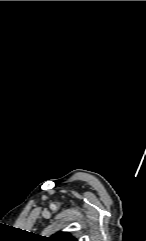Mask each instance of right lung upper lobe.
<instances>
[{"mask_svg": "<svg viewBox=\"0 0 146 241\" xmlns=\"http://www.w3.org/2000/svg\"><path fill=\"white\" fill-rule=\"evenodd\" d=\"M46 241H77L72 235L68 232H58L51 237L45 238Z\"/></svg>", "mask_w": 146, "mask_h": 241, "instance_id": "right-lung-upper-lobe-1", "label": "right lung upper lobe"}]
</instances>
